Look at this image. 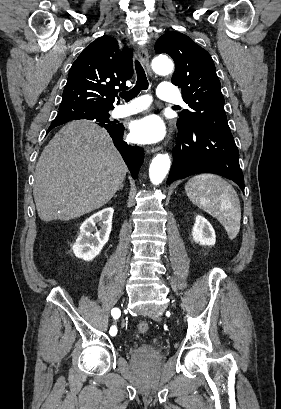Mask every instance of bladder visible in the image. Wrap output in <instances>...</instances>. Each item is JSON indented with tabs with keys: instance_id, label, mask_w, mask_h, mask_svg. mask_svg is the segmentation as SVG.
Segmentation results:
<instances>
[{
	"instance_id": "1",
	"label": "bladder",
	"mask_w": 281,
	"mask_h": 409,
	"mask_svg": "<svg viewBox=\"0 0 281 409\" xmlns=\"http://www.w3.org/2000/svg\"><path fill=\"white\" fill-rule=\"evenodd\" d=\"M135 355H158L155 346L151 342L140 341L135 348Z\"/></svg>"
}]
</instances>
